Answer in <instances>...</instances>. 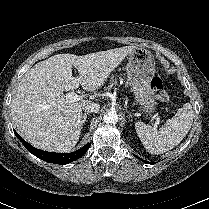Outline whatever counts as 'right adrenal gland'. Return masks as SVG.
<instances>
[{
  "label": "right adrenal gland",
  "mask_w": 209,
  "mask_h": 209,
  "mask_svg": "<svg viewBox=\"0 0 209 209\" xmlns=\"http://www.w3.org/2000/svg\"><path fill=\"white\" fill-rule=\"evenodd\" d=\"M87 115H88V113H84V114L82 115V120H81V125H82V126H83V124H84L85 121H86Z\"/></svg>",
  "instance_id": "obj_1"
}]
</instances>
